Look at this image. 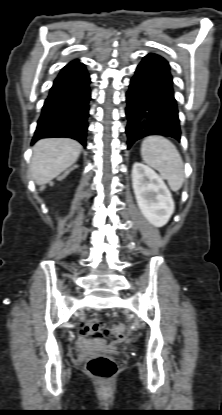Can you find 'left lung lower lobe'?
<instances>
[{
    "label": "left lung lower lobe",
    "instance_id": "0a47b994",
    "mask_svg": "<svg viewBox=\"0 0 222 415\" xmlns=\"http://www.w3.org/2000/svg\"><path fill=\"white\" fill-rule=\"evenodd\" d=\"M126 127L128 149L148 135L181 138L173 78L165 58L146 55L137 66L126 94Z\"/></svg>",
    "mask_w": 222,
    "mask_h": 415
}]
</instances>
